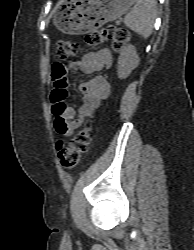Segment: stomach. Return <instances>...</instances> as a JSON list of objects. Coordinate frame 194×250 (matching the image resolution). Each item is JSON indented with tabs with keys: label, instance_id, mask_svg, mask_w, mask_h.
I'll return each mask as SVG.
<instances>
[{
	"label": "stomach",
	"instance_id": "obj_1",
	"mask_svg": "<svg viewBox=\"0 0 194 250\" xmlns=\"http://www.w3.org/2000/svg\"><path fill=\"white\" fill-rule=\"evenodd\" d=\"M135 0H61L54 25L68 34H85L120 18Z\"/></svg>",
	"mask_w": 194,
	"mask_h": 250
}]
</instances>
